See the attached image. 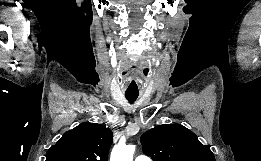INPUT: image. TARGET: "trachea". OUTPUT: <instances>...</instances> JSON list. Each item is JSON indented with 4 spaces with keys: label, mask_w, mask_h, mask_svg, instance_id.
Returning a JSON list of instances; mask_svg holds the SVG:
<instances>
[{
    "label": "trachea",
    "mask_w": 261,
    "mask_h": 161,
    "mask_svg": "<svg viewBox=\"0 0 261 161\" xmlns=\"http://www.w3.org/2000/svg\"><path fill=\"white\" fill-rule=\"evenodd\" d=\"M138 96L136 95H126V99L130 102L133 103L137 99Z\"/></svg>",
    "instance_id": "trachea-1"
}]
</instances>
